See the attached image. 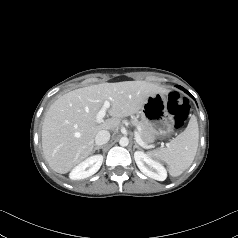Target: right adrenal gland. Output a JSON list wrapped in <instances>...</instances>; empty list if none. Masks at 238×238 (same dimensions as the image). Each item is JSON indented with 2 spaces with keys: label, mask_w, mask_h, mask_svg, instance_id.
Returning <instances> with one entry per match:
<instances>
[{
  "label": "right adrenal gland",
  "mask_w": 238,
  "mask_h": 238,
  "mask_svg": "<svg viewBox=\"0 0 238 238\" xmlns=\"http://www.w3.org/2000/svg\"><path fill=\"white\" fill-rule=\"evenodd\" d=\"M103 146H96L94 149H93V152H95L96 150H100Z\"/></svg>",
  "instance_id": "2a0ac1e0"
}]
</instances>
